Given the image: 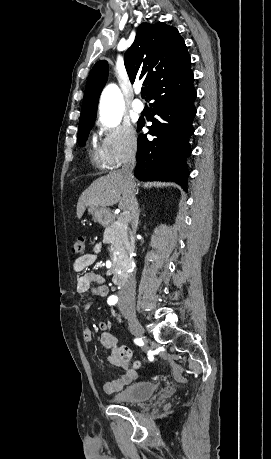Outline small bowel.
<instances>
[{"instance_id":"small-bowel-1","label":"small bowel","mask_w":271,"mask_h":459,"mask_svg":"<svg viewBox=\"0 0 271 459\" xmlns=\"http://www.w3.org/2000/svg\"><path fill=\"white\" fill-rule=\"evenodd\" d=\"M98 252L99 246H96L92 252L82 255L74 261V271L81 273L77 279L76 288L78 293H86L91 290L94 295L99 297H104L108 293V288L104 284V278L101 275L94 272L84 271L96 261ZM93 284H96V286L93 287ZM90 306L91 303H88L85 306V310H88ZM97 327L103 331L100 336L101 344L110 351V354L107 357V363L123 371V373L115 380L106 381L102 384L103 391L106 394H112L131 383L135 379L136 373L119 357L116 347L117 339L113 334L108 332V324L105 321H99ZM83 337L86 342H92L93 333L90 327H85Z\"/></svg>"}]
</instances>
